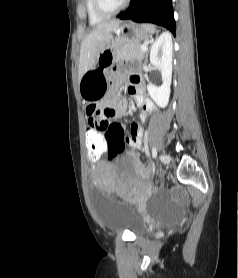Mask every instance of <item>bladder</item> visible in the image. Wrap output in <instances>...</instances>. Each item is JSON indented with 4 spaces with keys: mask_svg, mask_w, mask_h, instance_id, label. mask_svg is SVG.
Returning a JSON list of instances; mask_svg holds the SVG:
<instances>
[{
    "mask_svg": "<svg viewBox=\"0 0 238 278\" xmlns=\"http://www.w3.org/2000/svg\"><path fill=\"white\" fill-rule=\"evenodd\" d=\"M93 205L102 227L109 232L129 231L142 235L147 224L132 204H116V198L104 193H97Z\"/></svg>",
    "mask_w": 238,
    "mask_h": 278,
    "instance_id": "1",
    "label": "bladder"
}]
</instances>
